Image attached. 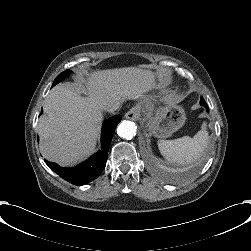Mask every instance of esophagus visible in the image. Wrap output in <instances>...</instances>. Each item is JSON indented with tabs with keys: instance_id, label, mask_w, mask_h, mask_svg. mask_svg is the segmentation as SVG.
<instances>
[{
	"instance_id": "obj_1",
	"label": "esophagus",
	"mask_w": 251,
	"mask_h": 251,
	"mask_svg": "<svg viewBox=\"0 0 251 251\" xmlns=\"http://www.w3.org/2000/svg\"><path fill=\"white\" fill-rule=\"evenodd\" d=\"M140 116V109L138 107H133L129 111L126 112L125 118L129 120H136Z\"/></svg>"
}]
</instances>
